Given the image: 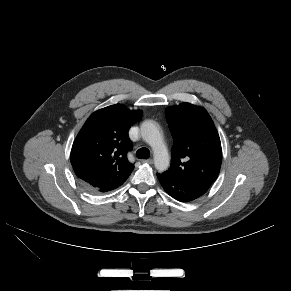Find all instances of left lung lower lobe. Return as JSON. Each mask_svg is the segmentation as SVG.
Here are the masks:
<instances>
[{
	"instance_id": "1",
	"label": "left lung lower lobe",
	"mask_w": 291,
	"mask_h": 291,
	"mask_svg": "<svg viewBox=\"0 0 291 291\" xmlns=\"http://www.w3.org/2000/svg\"><path fill=\"white\" fill-rule=\"evenodd\" d=\"M164 190L180 202L192 201L202 196L207 189L164 172L157 174Z\"/></svg>"
}]
</instances>
